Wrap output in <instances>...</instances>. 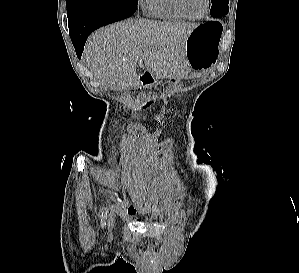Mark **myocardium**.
<instances>
[{
	"instance_id": "1",
	"label": "myocardium",
	"mask_w": 299,
	"mask_h": 273,
	"mask_svg": "<svg viewBox=\"0 0 299 273\" xmlns=\"http://www.w3.org/2000/svg\"><path fill=\"white\" fill-rule=\"evenodd\" d=\"M176 1V4L179 8V10L189 19H192V20H200L202 19L203 17H205V15L208 13V10H209V7H210V0H205L206 2V6H205V10L204 12L200 15V16H192L190 15L185 6H184V3H183V0H175Z\"/></svg>"
}]
</instances>
